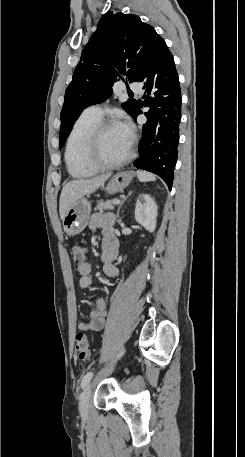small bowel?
<instances>
[{
  "instance_id": "c3829d8e",
  "label": "small bowel",
  "mask_w": 245,
  "mask_h": 457,
  "mask_svg": "<svg viewBox=\"0 0 245 457\" xmlns=\"http://www.w3.org/2000/svg\"><path fill=\"white\" fill-rule=\"evenodd\" d=\"M115 216L111 213H95L89 220V228L100 230L102 241L103 271L108 277H117L119 268L114 264L118 253V241L114 233ZM78 283L81 288H88L92 283L91 266L84 262L78 267ZM107 316V303L105 298L97 299L95 305L89 311L88 321H79L77 324L81 332H99L105 325Z\"/></svg>"
}]
</instances>
